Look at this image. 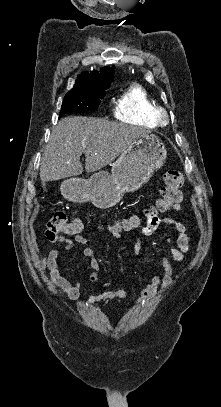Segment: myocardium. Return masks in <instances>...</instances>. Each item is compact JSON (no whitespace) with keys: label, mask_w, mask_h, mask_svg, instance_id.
I'll return each mask as SVG.
<instances>
[{"label":"myocardium","mask_w":221,"mask_h":407,"mask_svg":"<svg viewBox=\"0 0 221 407\" xmlns=\"http://www.w3.org/2000/svg\"><path fill=\"white\" fill-rule=\"evenodd\" d=\"M155 118L156 121L162 126H166L169 122V114L167 110L162 107L157 108L155 112Z\"/></svg>","instance_id":"myocardium-1"}]
</instances>
